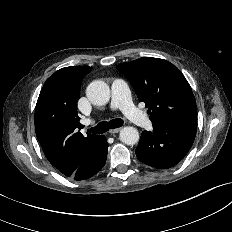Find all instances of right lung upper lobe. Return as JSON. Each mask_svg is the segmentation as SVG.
<instances>
[{"label": "right lung upper lobe", "instance_id": "cb5924a9", "mask_svg": "<svg viewBox=\"0 0 232 232\" xmlns=\"http://www.w3.org/2000/svg\"><path fill=\"white\" fill-rule=\"evenodd\" d=\"M89 66L65 67L52 74L44 83L37 100L34 123L37 139L46 158L61 173L71 175L86 152L100 136L79 131L77 101L81 81L91 71Z\"/></svg>", "mask_w": 232, "mask_h": 232}]
</instances>
